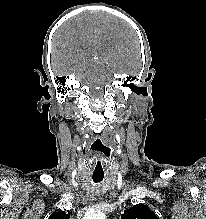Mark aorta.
<instances>
[{
	"label": "aorta",
	"instance_id": "aorta-1",
	"mask_svg": "<svg viewBox=\"0 0 206 219\" xmlns=\"http://www.w3.org/2000/svg\"><path fill=\"white\" fill-rule=\"evenodd\" d=\"M84 219H106V216L102 212H93L88 214Z\"/></svg>",
	"mask_w": 206,
	"mask_h": 219
}]
</instances>
